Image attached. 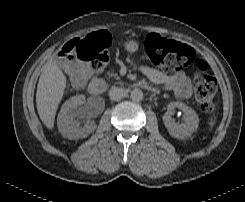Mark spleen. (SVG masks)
Segmentation results:
<instances>
[{
	"mask_svg": "<svg viewBox=\"0 0 245 202\" xmlns=\"http://www.w3.org/2000/svg\"><path fill=\"white\" fill-rule=\"evenodd\" d=\"M210 127H212L214 125V121L211 119L209 122Z\"/></svg>",
	"mask_w": 245,
	"mask_h": 202,
	"instance_id": "3e777b00",
	"label": "spleen"
}]
</instances>
